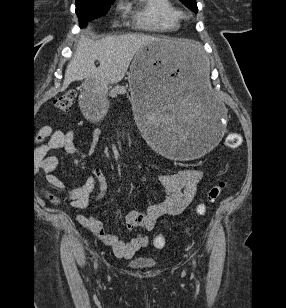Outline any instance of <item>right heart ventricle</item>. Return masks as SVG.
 Wrapping results in <instances>:
<instances>
[{
    "label": "right heart ventricle",
    "instance_id": "right-heart-ventricle-1",
    "mask_svg": "<svg viewBox=\"0 0 286 308\" xmlns=\"http://www.w3.org/2000/svg\"><path fill=\"white\" fill-rule=\"evenodd\" d=\"M123 9L139 30L170 32L181 24V12L172 0H137L135 4H126Z\"/></svg>",
    "mask_w": 286,
    "mask_h": 308
}]
</instances>
